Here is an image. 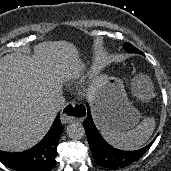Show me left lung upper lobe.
Here are the masks:
<instances>
[{
    "instance_id": "obj_1",
    "label": "left lung upper lobe",
    "mask_w": 171,
    "mask_h": 171,
    "mask_svg": "<svg viewBox=\"0 0 171 171\" xmlns=\"http://www.w3.org/2000/svg\"><path fill=\"white\" fill-rule=\"evenodd\" d=\"M124 49L128 52V53H138V54H142V52L137 49L136 47H134L132 44L130 43H125L124 44Z\"/></svg>"
}]
</instances>
